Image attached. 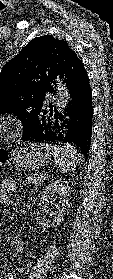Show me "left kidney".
I'll return each instance as SVG.
<instances>
[{"mask_svg":"<svg viewBox=\"0 0 113 279\" xmlns=\"http://www.w3.org/2000/svg\"><path fill=\"white\" fill-rule=\"evenodd\" d=\"M69 192L70 185L67 181L57 180L47 186L42 192L41 199L43 203H50L55 206L53 212L54 220L53 226H59L64 220V216L69 209ZM54 195H58L57 202L52 200Z\"/></svg>","mask_w":113,"mask_h":279,"instance_id":"5707ae66","label":"left kidney"}]
</instances>
